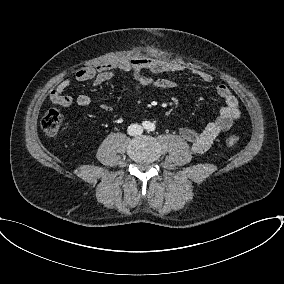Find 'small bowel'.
Wrapping results in <instances>:
<instances>
[{
	"mask_svg": "<svg viewBox=\"0 0 284 284\" xmlns=\"http://www.w3.org/2000/svg\"><path fill=\"white\" fill-rule=\"evenodd\" d=\"M182 67L176 63L158 58H135L120 63L101 64L96 67H82L78 69L74 78L76 81H92L95 86H99L115 76L117 72L131 73L136 81V89L152 86L159 89L169 90L176 87V83L167 78H152L146 73L162 74L180 71ZM196 75L205 83L213 80L211 74L207 72H197ZM70 85L69 79H62L50 92L51 101L64 109L72 107L73 99L64 94ZM217 95L224 101V106L220 108L218 116L207 123L201 129L182 127L179 130L180 136L190 144L194 154L206 152L214 140L222 133L228 131L236 120L240 117L239 102L231 90L223 84L216 87ZM76 103L80 107H88L92 99L87 94L77 97ZM108 106H104L107 109Z\"/></svg>",
	"mask_w": 284,
	"mask_h": 284,
	"instance_id": "obj_1",
	"label": "small bowel"
}]
</instances>
